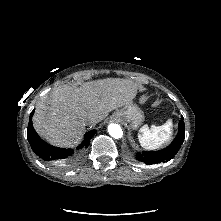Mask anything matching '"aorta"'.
Instances as JSON below:
<instances>
[{
  "label": "aorta",
  "instance_id": "762f6f07",
  "mask_svg": "<svg viewBox=\"0 0 221 221\" xmlns=\"http://www.w3.org/2000/svg\"><path fill=\"white\" fill-rule=\"evenodd\" d=\"M108 133L110 134L111 137L115 139H119L123 136L121 127L118 124L114 123L108 126Z\"/></svg>",
  "mask_w": 221,
  "mask_h": 221
}]
</instances>
